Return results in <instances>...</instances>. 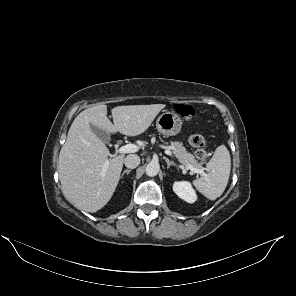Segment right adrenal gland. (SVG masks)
Here are the masks:
<instances>
[{"mask_svg": "<svg viewBox=\"0 0 296 296\" xmlns=\"http://www.w3.org/2000/svg\"><path fill=\"white\" fill-rule=\"evenodd\" d=\"M131 172V169H126L123 171V173L121 174V179L123 178L124 174L127 173V175Z\"/></svg>", "mask_w": 296, "mask_h": 296, "instance_id": "1", "label": "right adrenal gland"}]
</instances>
